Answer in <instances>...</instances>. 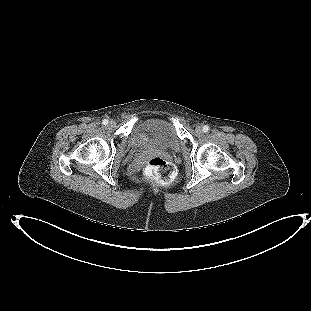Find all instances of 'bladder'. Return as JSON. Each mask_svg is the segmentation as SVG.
Listing matches in <instances>:
<instances>
[{"label":"bladder","mask_w":311,"mask_h":311,"mask_svg":"<svg viewBox=\"0 0 311 311\" xmlns=\"http://www.w3.org/2000/svg\"><path fill=\"white\" fill-rule=\"evenodd\" d=\"M130 145L137 149L176 151L180 138L175 126L162 118H151L136 128L130 136Z\"/></svg>","instance_id":"1"}]
</instances>
